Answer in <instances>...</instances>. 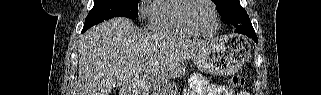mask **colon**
<instances>
[{
    "label": "colon",
    "instance_id": "1",
    "mask_svg": "<svg viewBox=\"0 0 321 95\" xmlns=\"http://www.w3.org/2000/svg\"><path fill=\"white\" fill-rule=\"evenodd\" d=\"M230 82L233 86L239 87L244 84L245 79L242 75L236 74L230 78Z\"/></svg>",
    "mask_w": 321,
    "mask_h": 95
}]
</instances>
